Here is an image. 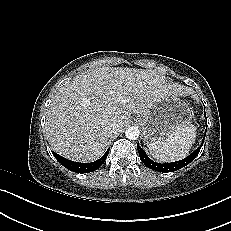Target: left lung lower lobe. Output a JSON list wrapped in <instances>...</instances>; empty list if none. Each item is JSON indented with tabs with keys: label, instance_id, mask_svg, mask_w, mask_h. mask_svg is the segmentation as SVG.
Returning <instances> with one entry per match:
<instances>
[{
	"label": "left lung lower lobe",
	"instance_id": "obj_1",
	"mask_svg": "<svg viewBox=\"0 0 231 231\" xmlns=\"http://www.w3.org/2000/svg\"><path fill=\"white\" fill-rule=\"evenodd\" d=\"M206 131H207V128H206ZM206 131H205V134H206ZM204 138H205V136H204ZM204 138L202 140V144L190 156L186 157L183 160L171 162V163L160 164V163H156V162L152 161L151 159L148 158L145 151L139 146V144H137V150L139 152L140 159L148 168L153 169V170L158 171V172H173V171H176V170L188 165L189 163H191L195 159V157L198 155V153H199V151L203 145Z\"/></svg>",
	"mask_w": 231,
	"mask_h": 231
}]
</instances>
